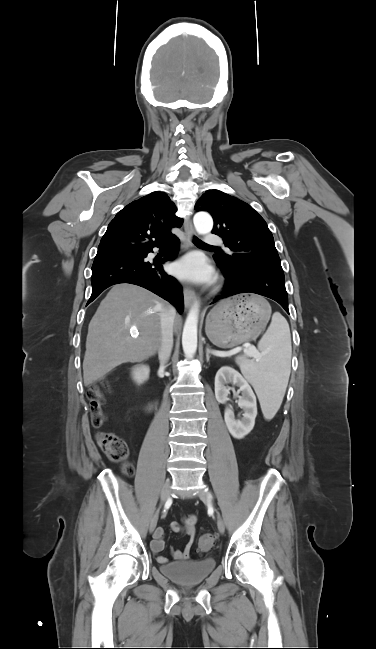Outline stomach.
<instances>
[{
	"mask_svg": "<svg viewBox=\"0 0 376 649\" xmlns=\"http://www.w3.org/2000/svg\"><path fill=\"white\" fill-rule=\"evenodd\" d=\"M271 315L269 303L257 295H236L221 301L207 316L205 332L219 348L255 339Z\"/></svg>",
	"mask_w": 376,
	"mask_h": 649,
	"instance_id": "1",
	"label": "stomach"
}]
</instances>
